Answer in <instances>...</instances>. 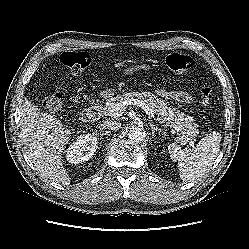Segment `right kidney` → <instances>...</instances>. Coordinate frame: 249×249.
Returning <instances> with one entry per match:
<instances>
[{"label":"right kidney","mask_w":249,"mask_h":249,"mask_svg":"<svg viewBox=\"0 0 249 249\" xmlns=\"http://www.w3.org/2000/svg\"><path fill=\"white\" fill-rule=\"evenodd\" d=\"M98 140L94 133L82 134L66 151V159L70 163L78 164L89 160L97 149Z\"/></svg>","instance_id":"right-kidney-1"}]
</instances>
